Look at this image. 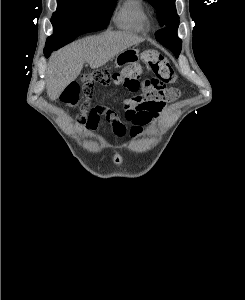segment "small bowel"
Listing matches in <instances>:
<instances>
[{
    "instance_id": "c3829d8e",
    "label": "small bowel",
    "mask_w": 245,
    "mask_h": 300,
    "mask_svg": "<svg viewBox=\"0 0 245 300\" xmlns=\"http://www.w3.org/2000/svg\"><path fill=\"white\" fill-rule=\"evenodd\" d=\"M130 92L134 94L133 97L124 101L125 118L132 125L129 130L114 110L105 106L91 108L88 103L82 107L83 113L78 117L79 124L87 132H92L97 129L100 118L104 117L118 139L127 136L131 139L138 138L146 125L159 119L166 103L155 97L149 80H140L138 89Z\"/></svg>"
}]
</instances>
